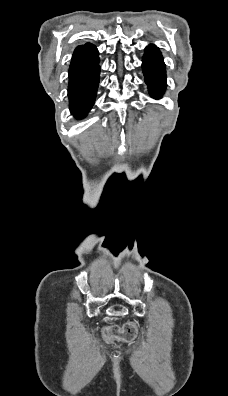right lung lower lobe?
I'll return each instance as SVG.
<instances>
[{
  "label": "right lung lower lobe",
  "instance_id": "obj_1",
  "mask_svg": "<svg viewBox=\"0 0 228 396\" xmlns=\"http://www.w3.org/2000/svg\"><path fill=\"white\" fill-rule=\"evenodd\" d=\"M98 50L94 45L78 46L69 68L68 97L70 110L77 118L84 117L96 98L99 84Z\"/></svg>",
  "mask_w": 228,
  "mask_h": 396
}]
</instances>
